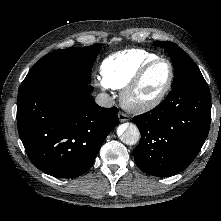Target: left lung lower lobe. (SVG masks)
Returning <instances> with one entry per match:
<instances>
[{
    "mask_svg": "<svg viewBox=\"0 0 221 221\" xmlns=\"http://www.w3.org/2000/svg\"><path fill=\"white\" fill-rule=\"evenodd\" d=\"M132 121L141 132L134 149L145 173L167 177L186 168L199 153L210 128L211 97L207 83L185 84L170 91L156 108Z\"/></svg>",
    "mask_w": 221,
    "mask_h": 221,
    "instance_id": "0a47b994",
    "label": "left lung lower lobe"
}]
</instances>
